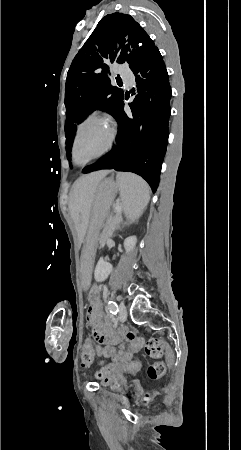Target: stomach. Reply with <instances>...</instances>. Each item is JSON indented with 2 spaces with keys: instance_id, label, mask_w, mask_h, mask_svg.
<instances>
[{
  "instance_id": "stomach-1",
  "label": "stomach",
  "mask_w": 241,
  "mask_h": 450,
  "mask_svg": "<svg viewBox=\"0 0 241 450\" xmlns=\"http://www.w3.org/2000/svg\"><path fill=\"white\" fill-rule=\"evenodd\" d=\"M119 184L112 178L102 179L96 189L88 233L81 252L80 284L86 289L90 284L93 261L99 242L100 230L104 227L108 211L112 205Z\"/></svg>"
}]
</instances>
